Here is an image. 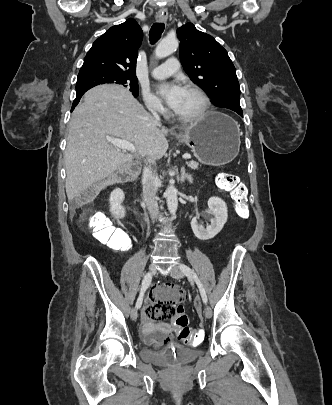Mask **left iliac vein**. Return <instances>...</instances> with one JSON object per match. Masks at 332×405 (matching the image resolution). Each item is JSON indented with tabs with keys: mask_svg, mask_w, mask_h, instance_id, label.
Masks as SVG:
<instances>
[{
	"mask_svg": "<svg viewBox=\"0 0 332 405\" xmlns=\"http://www.w3.org/2000/svg\"><path fill=\"white\" fill-rule=\"evenodd\" d=\"M169 274L175 279H181L184 276L183 271L180 269L179 266H173L170 269ZM204 316L208 319L212 317V310L209 306H205Z\"/></svg>",
	"mask_w": 332,
	"mask_h": 405,
	"instance_id": "left-iliac-vein-1",
	"label": "left iliac vein"
}]
</instances>
